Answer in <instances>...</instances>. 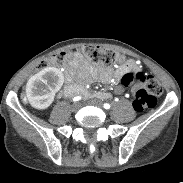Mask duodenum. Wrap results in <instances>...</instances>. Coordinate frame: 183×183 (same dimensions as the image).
Instances as JSON below:
<instances>
[{
  "mask_svg": "<svg viewBox=\"0 0 183 183\" xmlns=\"http://www.w3.org/2000/svg\"><path fill=\"white\" fill-rule=\"evenodd\" d=\"M64 93L66 96H72V95L78 94L80 97H83L85 95V92L83 91V89L75 85L66 86Z\"/></svg>",
  "mask_w": 183,
  "mask_h": 183,
  "instance_id": "duodenum-1",
  "label": "duodenum"
}]
</instances>
